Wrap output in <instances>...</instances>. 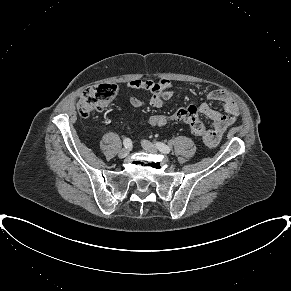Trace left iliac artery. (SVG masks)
<instances>
[{
  "instance_id": "44dca946",
  "label": "left iliac artery",
  "mask_w": 291,
  "mask_h": 291,
  "mask_svg": "<svg viewBox=\"0 0 291 291\" xmlns=\"http://www.w3.org/2000/svg\"><path fill=\"white\" fill-rule=\"evenodd\" d=\"M156 146L159 149V151L164 154H168L171 151V148L164 143L157 142Z\"/></svg>"
}]
</instances>
